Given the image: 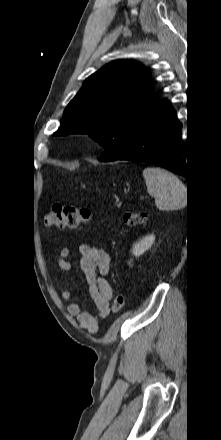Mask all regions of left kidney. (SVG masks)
Listing matches in <instances>:
<instances>
[{
  "mask_svg": "<svg viewBox=\"0 0 221 440\" xmlns=\"http://www.w3.org/2000/svg\"><path fill=\"white\" fill-rule=\"evenodd\" d=\"M155 242V236L153 234L145 236L139 242H137L133 248L132 253L134 256L139 257L148 249H150Z\"/></svg>",
  "mask_w": 221,
  "mask_h": 440,
  "instance_id": "obj_1",
  "label": "left kidney"
}]
</instances>
